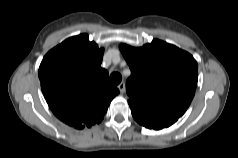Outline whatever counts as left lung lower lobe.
<instances>
[{
	"label": "left lung lower lobe",
	"mask_w": 238,
	"mask_h": 158,
	"mask_svg": "<svg viewBox=\"0 0 238 158\" xmlns=\"http://www.w3.org/2000/svg\"><path fill=\"white\" fill-rule=\"evenodd\" d=\"M133 118L141 125L149 129H163L175 123L179 117H148L132 112Z\"/></svg>",
	"instance_id": "obj_1"
}]
</instances>
